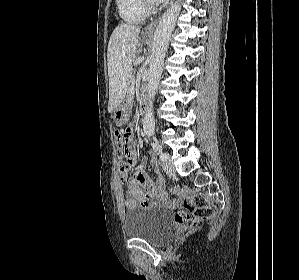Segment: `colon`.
Segmentation results:
<instances>
[{
  "instance_id": "1",
  "label": "colon",
  "mask_w": 299,
  "mask_h": 280,
  "mask_svg": "<svg viewBox=\"0 0 299 280\" xmlns=\"http://www.w3.org/2000/svg\"><path fill=\"white\" fill-rule=\"evenodd\" d=\"M130 135L129 130L115 131V140L120 157L119 174L122 180H126L135 164L130 145ZM214 214V207L205 204L200 196L192 195L185 201L184 208L175 212V221L181 227L191 228L211 219Z\"/></svg>"
}]
</instances>
